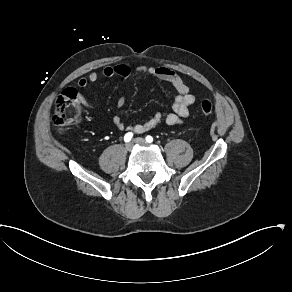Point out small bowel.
<instances>
[{
	"label": "small bowel",
	"mask_w": 292,
	"mask_h": 292,
	"mask_svg": "<svg viewBox=\"0 0 292 292\" xmlns=\"http://www.w3.org/2000/svg\"><path fill=\"white\" fill-rule=\"evenodd\" d=\"M132 73L145 74L154 79L161 80L171 84L177 91L172 104V111L165 116L156 113L143 123L134 125L131 129L136 133H144L158 126L163 120L168 126H177L182 124L190 115V107L195 103L196 98L191 93L189 86L185 81L173 70L166 67H152L139 65L134 68L126 64L109 65L103 68L102 75L105 77H113L118 75L123 78L129 77ZM99 80V74L95 71L90 72L87 76L81 77L77 81L79 88L85 89L89 85L96 83ZM77 100L82 102L89 108L98 109L100 104L92 102L83 95H79L74 91ZM124 105V98H119L117 107L122 108ZM113 125L119 131L126 129L125 123L121 117L115 116L112 120Z\"/></svg>",
	"instance_id": "obj_1"
}]
</instances>
